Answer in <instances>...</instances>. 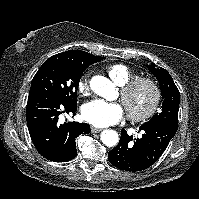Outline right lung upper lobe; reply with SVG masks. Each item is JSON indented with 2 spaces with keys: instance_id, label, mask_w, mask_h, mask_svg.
Returning <instances> with one entry per match:
<instances>
[{
  "instance_id": "cb5924a9",
  "label": "right lung upper lobe",
  "mask_w": 199,
  "mask_h": 199,
  "mask_svg": "<svg viewBox=\"0 0 199 199\" xmlns=\"http://www.w3.org/2000/svg\"><path fill=\"white\" fill-rule=\"evenodd\" d=\"M52 57L85 68L95 62L103 60V57H96L81 50L65 51L57 55H53Z\"/></svg>"
}]
</instances>
